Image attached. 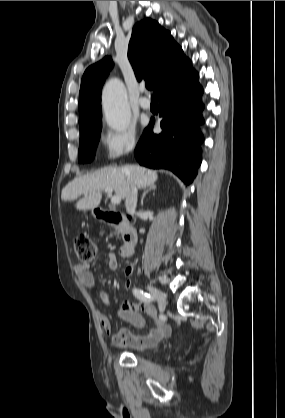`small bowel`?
<instances>
[{"instance_id":"c3829d8e","label":"small bowel","mask_w":285,"mask_h":418,"mask_svg":"<svg viewBox=\"0 0 285 418\" xmlns=\"http://www.w3.org/2000/svg\"><path fill=\"white\" fill-rule=\"evenodd\" d=\"M104 259L106 261L107 266L110 269H117L119 262L117 257L113 253L107 254L106 256H104ZM134 270L135 267L133 265H127L123 269V274L126 278V287H130L132 285L130 277L133 275ZM75 272L85 287L90 289H93L95 287L94 278L89 271L88 263L76 264ZM101 300L105 304H107L109 302L107 294L101 293ZM115 310L119 315H121L128 321L136 324L137 326H140L143 322L140 312H143L148 319H154V308L150 306L147 302L124 301L118 307H116ZM100 322L105 333L112 337L114 345L118 347H127L135 349L149 348L157 344L163 338L167 337L171 332V329L168 325L158 322L148 335L137 336L134 335L125 326H119L117 329H115L110 318L104 314H100Z\"/></svg>"}]
</instances>
